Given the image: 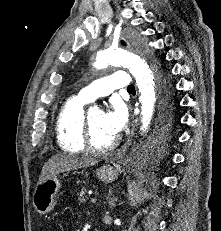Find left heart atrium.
Wrapping results in <instances>:
<instances>
[{
  "instance_id": "left-heart-atrium-1",
  "label": "left heart atrium",
  "mask_w": 221,
  "mask_h": 231,
  "mask_svg": "<svg viewBox=\"0 0 221 231\" xmlns=\"http://www.w3.org/2000/svg\"><path fill=\"white\" fill-rule=\"evenodd\" d=\"M103 121L108 132L117 136L126 125L127 115L121 106L115 105L104 113Z\"/></svg>"
}]
</instances>
